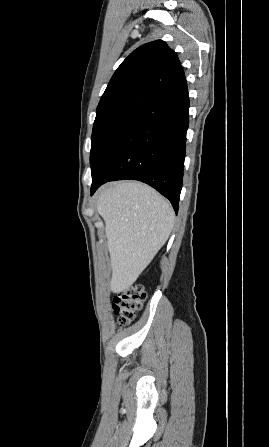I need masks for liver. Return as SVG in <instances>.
Wrapping results in <instances>:
<instances>
[{
  "label": "liver",
  "instance_id": "1",
  "mask_svg": "<svg viewBox=\"0 0 269 447\" xmlns=\"http://www.w3.org/2000/svg\"><path fill=\"white\" fill-rule=\"evenodd\" d=\"M111 257L110 289L132 285L174 227V210L156 190L140 182H117L97 194Z\"/></svg>",
  "mask_w": 269,
  "mask_h": 447
}]
</instances>
